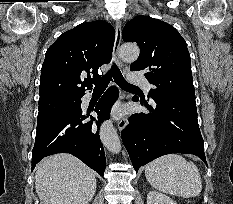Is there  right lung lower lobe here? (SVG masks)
I'll use <instances>...</instances> for the list:
<instances>
[{
  "mask_svg": "<svg viewBox=\"0 0 233 204\" xmlns=\"http://www.w3.org/2000/svg\"><path fill=\"white\" fill-rule=\"evenodd\" d=\"M117 96L116 87H111L104 93L94 109L99 118L95 125L92 122L95 120L94 117L89 113H82L80 103L71 113L37 128L32 150V170L46 156L70 153L103 176L106 159L98 129L101 122L109 118L110 109ZM89 117L91 121L86 120Z\"/></svg>",
  "mask_w": 233,
  "mask_h": 204,
  "instance_id": "1",
  "label": "right lung lower lobe"
}]
</instances>
